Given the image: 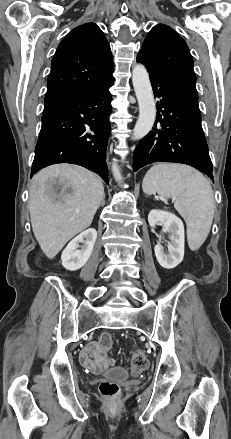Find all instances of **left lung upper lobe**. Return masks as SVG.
Segmentation results:
<instances>
[{"instance_id":"5c2ea615","label":"left lung upper lobe","mask_w":231,"mask_h":439,"mask_svg":"<svg viewBox=\"0 0 231 439\" xmlns=\"http://www.w3.org/2000/svg\"><path fill=\"white\" fill-rule=\"evenodd\" d=\"M198 100L193 59L185 41L169 26H154L139 53Z\"/></svg>"}]
</instances>
